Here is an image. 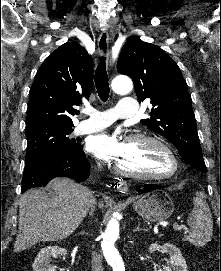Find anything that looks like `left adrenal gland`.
<instances>
[{"mask_svg":"<svg viewBox=\"0 0 221 271\" xmlns=\"http://www.w3.org/2000/svg\"><path fill=\"white\" fill-rule=\"evenodd\" d=\"M133 231H141L140 221H138V225H137L136 229H133ZM145 231H146V229H145Z\"/></svg>","mask_w":221,"mask_h":271,"instance_id":"1","label":"left adrenal gland"}]
</instances>
